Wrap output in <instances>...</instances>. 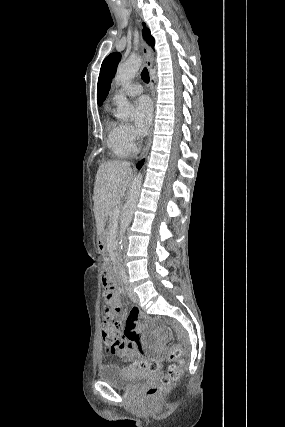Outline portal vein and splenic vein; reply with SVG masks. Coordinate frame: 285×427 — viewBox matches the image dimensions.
Masks as SVG:
<instances>
[{
  "instance_id": "18ae733b",
  "label": "portal vein and splenic vein",
  "mask_w": 285,
  "mask_h": 427,
  "mask_svg": "<svg viewBox=\"0 0 285 427\" xmlns=\"http://www.w3.org/2000/svg\"><path fill=\"white\" fill-rule=\"evenodd\" d=\"M112 214H113L114 220H116L118 218V216H119V208L115 207L114 210H113V212H112Z\"/></svg>"
}]
</instances>
